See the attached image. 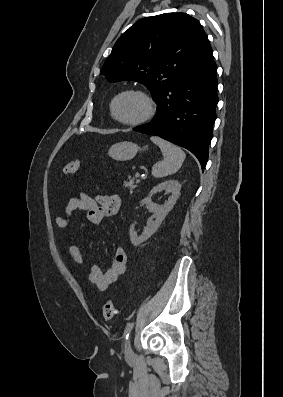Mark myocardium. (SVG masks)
Instances as JSON below:
<instances>
[{"instance_id":"1","label":"myocardium","mask_w":283,"mask_h":397,"mask_svg":"<svg viewBox=\"0 0 283 397\" xmlns=\"http://www.w3.org/2000/svg\"><path fill=\"white\" fill-rule=\"evenodd\" d=\"M125 94H137L144 99L147 109H146L145 114L142 117H140L139 119L132 120V121H126V120L120 119L117 116L116 110H115L116 103H117L118 99ZM110 111H111V115L115 121H117L118 123H120L124 126L134 127V126L144 124L153 118V116L155 115V112H156V103H155L154 99L152 98V96L149 93H147L145 90L139 89V88H130V89L120 91L113 97L111 104H110Z\"/></svg>"}]
</instances>
